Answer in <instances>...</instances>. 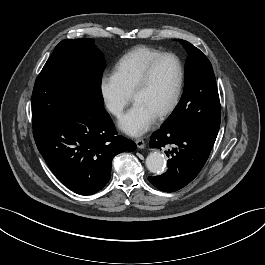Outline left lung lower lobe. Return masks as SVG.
<instances>
[{
  "label": "left lung lower lobe",
  "instance_id": "left-lung-lower-lobe-1",
  "mask_svg": "<svg viewBox=\"0 0 265 265\" xmlns=\"http://www.w3.org/2000/svg\"><path fill=\"white\" fill-rule=\"evenodd\" d=\"M151 148L172 145L168 170L160 176H149V182L161 191L174 192L190 183L206 163L211 144L201 134L184 128L159 129L154 132L149 142ZM169 157V155H168Z\"/></svg>",
  "mask_w": 265,
  "mask_h": 265
}]
</instances>
